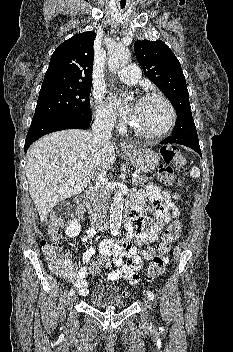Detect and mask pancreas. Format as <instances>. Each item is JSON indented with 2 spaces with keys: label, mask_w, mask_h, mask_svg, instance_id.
<instances>
[{
  "label": "pancreas",
  "mask_w": 233,
  "mask_h": 352,
  "mask_svg": "<svg viewBox=\"0 0 233 352\" xmlns=\"http://www.w3.org/2000/svg\"><path fill=\"white\" fill-rule=\"evenodd\" d=\"M147 181V177L144 175H138L136 178H133V183L136 186H143Z\"/></svg>",
  "instance_id": "cf45deb5"
}]
</instances>
